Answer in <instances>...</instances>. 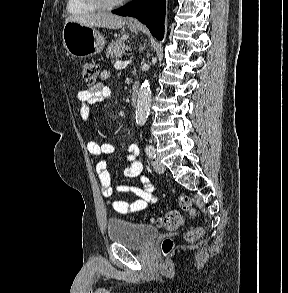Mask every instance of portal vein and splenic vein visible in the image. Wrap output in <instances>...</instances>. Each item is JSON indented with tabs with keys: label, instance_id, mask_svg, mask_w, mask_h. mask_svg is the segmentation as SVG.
Returning a JSON list of instances; mask_svg holds the SVG:
<instances>
[{
	"label": "portal vein and splenic vein",
	"instance_id": "18ae733b",
	"mask_svg": "<svg viewBox=\"0 0 288 293\" xmlns=\"http://www.w3.org/2000/svg\"><path fill=\"white\" fill-rule=\"evenodd\" d=\"M131 61H116L115 64H114V67L116 69H120V68H123L125 66H127Z\"/></svg>",
	"mask_w": 288,
	"mask_h": 293
}]
</instances>
